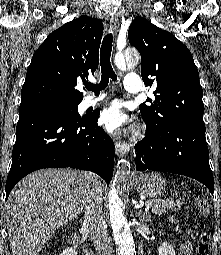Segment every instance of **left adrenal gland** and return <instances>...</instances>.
I'll use <instances>...</instances> for the list:
<instances>
[{
  "instance_id": "1",
  "label": "left adrenal gland",
  "mask_w": 221,
  "mask_h": 255,
  "mask_svg": "<svg viewBox=\"0 0 221 255\" xmlns=\"http://www.w3.org/2000/svg\"><path fill=\"white\" fill-rule=\"evenodd\" d=\"M137 216L142 221H147V220L149 221L150 220V215L148 213L141 212V210H138Z\"/></svg>"
}]
</instances>
